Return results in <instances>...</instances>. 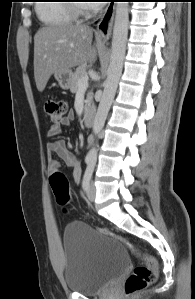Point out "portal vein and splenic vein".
I'll return each instance as SVG.
<instances>
[{
    "instance_id": "1",
    "label": "portal vein and splenic vein",
    "mask_w": 195,
    "mask_h": 299,
    "mask_svg": "<svg viewBox=\"0 0 195 299\" xmlns=\"http://www.w3.org/2000/svg\"><path fill=\"white\" fill-rule=\"evenodd\" d=\"M79 89H86L88 87V77L84 76L78 81Z\"/></svg>"
}]
</instances>
